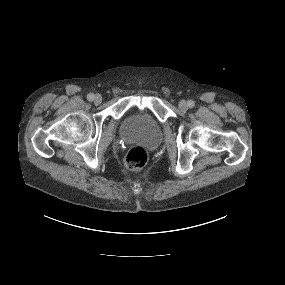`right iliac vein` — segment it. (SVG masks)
Wrapping results in <instances>:
<instances>
[{"label": "right iliac vein", "mask_w": 285, "mask_h": 285, "mask_svg": "<svg viewBox=\"0 0 285 285\" xmlns=\"http://www.w3.org/2000/svg\"><path fill=\"white\" fill-rule=\"evenodd\" d=\"M102 102V97H101V95L100 94H96L95 96H94V103L95 104H100Z\"/></svg>", "instance_id": "obj_1"}]
</instances>
